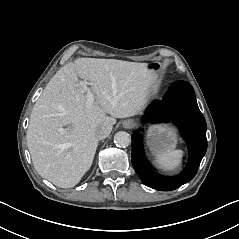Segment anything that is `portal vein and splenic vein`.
<instances>
[{
  "label": "portal vein and splenic vein",
  "instance_id": "1",
  "mask_svg": "<svg viewBox=\"0 0 239 239\" xmlns=\"http://www.w3.org/2000/svg\"><path fill=\"white\" fill-rule=\"evenodd\" d=\"M88 82L87 81H80L79 85L82 87L84 92H86L87 95V101L86 104L88 106H91L94 102V94L90 91L89 87L87 86ZM60 133L64 134L66 132V129L64 128H59L58 130Z\"/></svg>",
  "mask_w": 239,
  "mask_h": 239
}]
</instances>
